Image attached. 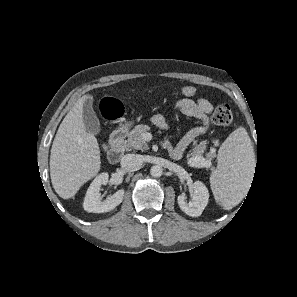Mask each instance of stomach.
<instances>
[{"instance_id": "1", "label": "stomach", "mask_w": 297, "mask_h": 297, "mask_svg": "<svg viewBox=\"0 0 297 297\" xmlns=\"http://www.w3.org/2000/svg\"><path fill=\"white\" fill-rule=\"evenodd\" d=\"M131 124H132V122L127 123V125H131Z\"/></svg>"}]
</instances>
